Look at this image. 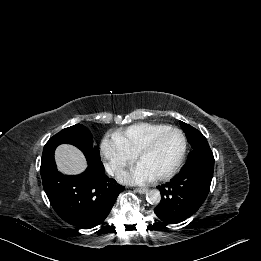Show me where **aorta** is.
<instances>
[{"instance_id": "aorta-1", "label": "aorta", "mask_w": 261, "mask_h": 261, "mask_svg": "<svg viewBox=\"0 0 261 261\" xmlns=\"http://www.w3.org/2000/svg\"><path fill=\"white\" fill-rule=\"evenodd\" d=\"M146 200L150 204H158L161 200L160 191L157 189H151L146 192Z\"/></svg>"}]
</instances>
